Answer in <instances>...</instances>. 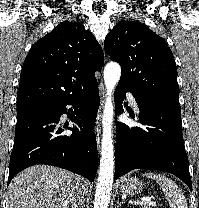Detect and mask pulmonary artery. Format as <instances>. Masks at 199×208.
<instances>
[{
    "instance_id": "e3ab8cb5",
    "label": "pulmonary artery",
    "mask_w": 199,
    "mask_h": 208,
    "mask_svg": "<svg viewBox=\"0 0 199 208\" xmlns=\"http://www.w3.org/2000/svg\"><path fill=\"white\" fill-rule=\"evenodd\" d=\"M127 99L129 101V103L131 104V106L133 107V109L136 112H139V108H138V105H137V101H136L135 96L133 94H131V93H128L127 94Z\"/></svg>"
}]
</instances>
